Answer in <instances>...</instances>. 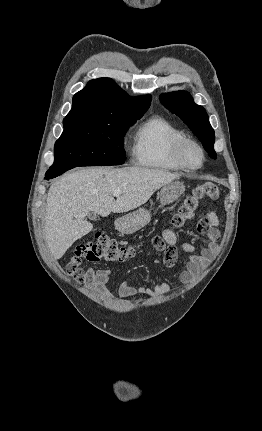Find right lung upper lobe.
<instances>
[{
    "label": "right lung upper lobe",
    "instance_id": "1",
    "mask_svg": "<svg viewBox=\"0 0 262 431\" xmlns=\"http://www.w3.org/2000/svg\"><path fill=\"white\" fill-rule=\"evenodd\" d=\"M150 103V95L132 98L112 79L98 78L74 95L72 109L63 124L139 117L143 116Z\"/></svg>",
    "mask_w": 262,
    "mask_h": 431
}]
</instances>
